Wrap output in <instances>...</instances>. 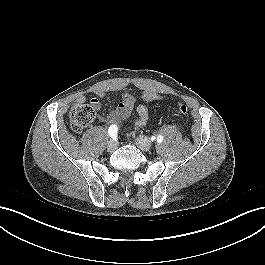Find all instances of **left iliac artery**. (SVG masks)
Returning <instances> with one entry per match:
<instances>
[{"label":"left iliac artery","instance_id":"obj_1","mask_svg":"<svg viewBox=\"0 0 265 265\" xmlns=\"http://www.w3.org/2000/svg\"><path fill=\"white\" fill-rule=\"evenodd\" d=\"M163 141V136L162 135H159L157 137V142L161 143Z\"/></svg>","mask_w":265,"mask_h":265}]
</instances>
